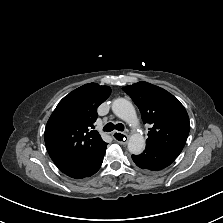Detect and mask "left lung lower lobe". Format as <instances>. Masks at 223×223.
I'll list each match as a JSON object with an SVG mask.
<instances>
[{"mask_svg":"<svg viewBox=\"0 0 223 223\" xmlns=\"http://www.w3.org/2000/svg\"><path fill=\"white\" fill-rule=\"evenodd\" d=\"M178 155L161 147L146 145L144 152L132 155V159L143 171L155 172L169 166Z\"/></svg>","mask_w":223,"mask_h":223,"instance_id":"0a47b994","label":"left lung lower lobe"}]
</instances>
